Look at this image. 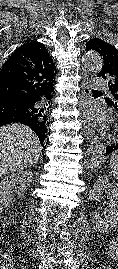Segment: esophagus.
<instances>
[{
    "mask_svg": "<svg viewBox=\"0 0 118 269\" xmlns=\"http://www.w3.org/2000/svg\"><path fill=\"white\" fill-rule=\"evenodd\" d=\"M91 80L92 74L89 71H85L82 81V94H81V109L83 111L82 122H83V133L87 140H92L94 138L93 124L88 118V101L91 94Z\"/></svg>",
    "mask_w": 118,
    "mask_h": 269,
    "instance_id": "esophagus-1",
    "label": "esophagus"
}]
</instances>
